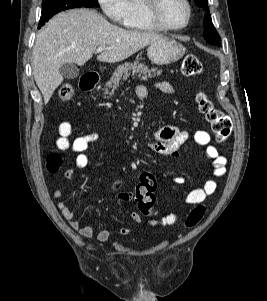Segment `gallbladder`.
Masks as SVG:
<instances>
[{"label":"gallbladder","mask_w":267,"mask_h":301,"mask_svg":"<svg viewBox=\"0 0 267 301\" xmlns=\"http://www.w3.org/2000/svg\"><path fill=\"white\" fill-rule=\"evenodd\" d=\"M59 72L66 79H75L80 71L74 63H65L60 67Z\"/></svg>","instance_id":"gallbladder-1"}]
</instances>
